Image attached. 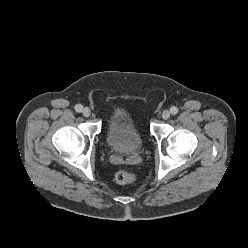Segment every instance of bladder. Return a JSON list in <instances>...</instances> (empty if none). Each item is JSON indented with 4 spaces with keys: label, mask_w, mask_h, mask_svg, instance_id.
Here are the masks:
<instances>
[{
    "label": "bladder",
    "mask_w": 248,
    "mask_h": 248,
    "mask_svg": "<svg viewBox=\"0 0 248 248\" xmlns=\"http://www.w3.org/2000/svg\"><path fill=\"white\" fill-rule=\"evenodd\" d=\"M106 141L115 152L131 154L143 145V137L129 115L123 111L110 114L106 127Z\"/></svg>",
    "instance_id": "obj_1"
}]
</instances>
